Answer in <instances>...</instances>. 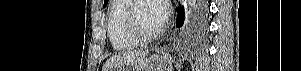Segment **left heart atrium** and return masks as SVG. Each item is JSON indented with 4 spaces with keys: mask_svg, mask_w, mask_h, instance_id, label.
<instances>
[{
    "mask_svg": "<svg viewBox=\"0 0 301 71\" xmlns=\"http://www.w3.org/2000/svg\"><path fill=\"white\" fill-rule=\"evenodd\" d=\"M153 10L155 12V18L158 24L159 30L163 29L166 25L169 14L170 5L166 0H152Z\"/></svg>",
    "mask_w": 301,
    "mask_h": 71,
    "instance_id": "39dd6f15",
    "label": "left heart atrium"
}]
</instances>
